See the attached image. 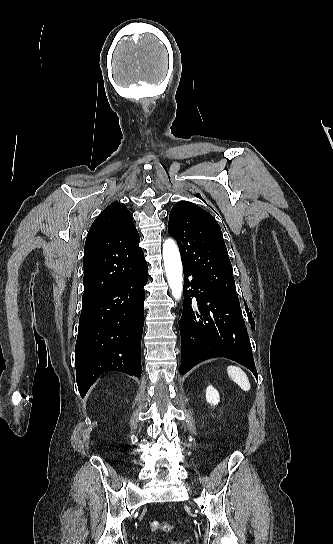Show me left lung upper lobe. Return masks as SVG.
<instances>
[{"label":"left lung upper lobe","mask_w":333,"mask_h":544,"mask_svg":"<svg viewBox=\"0 0 333 544\" xmlns=\"http://www.w3.org/2000/svg\"><path fill=\"white\" fill-rule=\"evenodd\" d=\"M168 231L178 243L183 266L240 306L231 262L215 218L191 202L179 201L169 215Z\"/></svg>","instance_id":"5c2ea615"}]
</instances>
